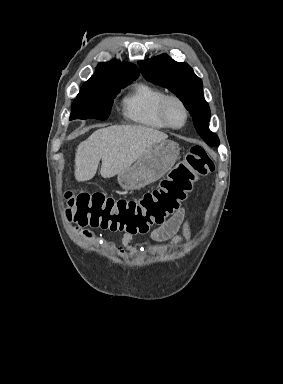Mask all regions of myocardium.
<instances>
[{"label":"myocardium","instance_id":"obj_1","mask_svg":"<svg viewBox=\"0 0 283 384\" xmlns=\"http://www.w3.org/2000/svg\"><path fill=\"white\" fill-rule=\"evenodd\" d=\"M171 102H176L180 105V107L182 108L183 112H184V122L181 126H174L170 123L169 119H168V115H167V109H168V106ZM157 114H158V117L160 119V121L168 128V129H171V130H180L182 129L183 127L186 126V124L188 123V120H189V110L186 106V104L184 103V101L176 96V95H166L160 102L159 106H158V110H157Z\"/></svg>","mask_w":283,"mask_h":384}]
</instances>
